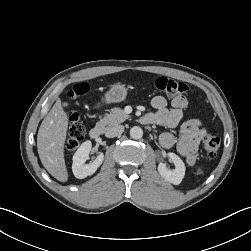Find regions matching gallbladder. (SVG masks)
Instances as JSON below:
<instances>
[{"label": "gallbladder", "instance_id": "gallbladder-1", "mask_svg": "<svg viewBox=\"0 0 251 251\" xmlns=\"http://www.w3.org/2000/svg\"><path fill=\"white\" fill-rule=\"evenodd\" d=\"M63 107H64V108H67V107H68V103H67V102H64V103H63Z\"/></svg>", "mask_w": 251, "mask_h": 251}]
</instances>
